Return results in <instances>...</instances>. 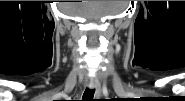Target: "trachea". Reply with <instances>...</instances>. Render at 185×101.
<instances>
[{"mask_svg": "<svg viewBox=\"0 0 185 101\" xmlns=\"http://www.w3.org/2000/svg\"><path fill=\"white\" fill-rule=\"evenodd\" d=\"M95 90L94 89H86L83 94V101H93Z\"/></svg>", "mask_w": 185, "mask_h": 101, "instance_id": "trachea-1", "label": "trachea"}]
</instances>
